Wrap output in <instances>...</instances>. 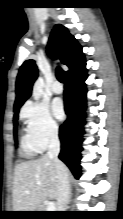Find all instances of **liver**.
<instances>
[{"instance_id": "obj_1", "label": "liver", "mask_w": 123, "mask_h": 219, "mask_svg": "<svg viewBox=\"0 0 123 219\" xmlns=\"http://www.w3.org/2000/svg\"><path fill=\"white\" fill-rule=\"evenodd\" d=\"M57 194V172L53 160L47 154L15 167L13 211H36L45 199L57 198Z\"/></svg>"}]
</instances>
